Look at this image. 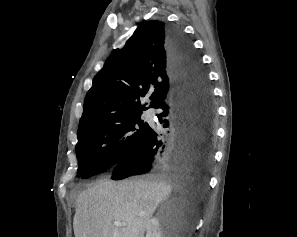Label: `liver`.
<instances>
[{
	"mask_svg": "<svg viewBox=\"0 0 297 237\" xmlns=\"http://www.w3.org/2000/svg\"><path fill=\"white\" fill-rule=\"evenodd\" d=\"M172 180L184 187L189 176H147L120 182L99 180L77 198L75 237H144L159 203L172 191ZM125 226H115L114 222Z\"/></svg>",
	"mask_w": 297,
	"mask_h": 237,
	"instance_id": "liver-1",
	"label": "liver"
}]
</instances>
